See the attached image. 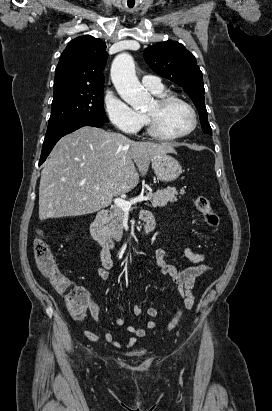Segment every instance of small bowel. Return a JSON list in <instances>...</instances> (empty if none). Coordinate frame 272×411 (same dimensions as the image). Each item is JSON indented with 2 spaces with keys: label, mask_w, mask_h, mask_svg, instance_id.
Returning <instances> with one entry per match:
<instances>
[{
  "label": "small bowel",
  "mask_w": 272,
  "mask_h": 411,
  "mask_svg": "<svg viewBox=\"0 0 272 411\" xmlns=\"http://www.w3.org/2000/svg\"><path fill=\"white\" fill-rule=\"evenodd\" d=\"M150 216L149 212L142 211L141 218L145 221L146 218ZM184 256L194 264L184 269H179L173 265H170L166 262V252L163 249H157L155 251V263L159 268L160 272L167 276L177 287L180 298L184 301L190 299L191 304L188 309H191L194 306L195 299L192 293V289L195 285L196 280L207 270L209 266L204 264L205 255L203 253L194 252L190 248L184 250ZM101 266L97 268V275L104 281L109 280L110 270L114 266V261L109 250L103 249L100 253ZM89 311L92 318L99 322V308L94 301L89 303ZM135 315L145 314L150 319L147 320L142 326H133L129 325L127 327L128 333L132 336L129 337L125 342L115 341L111 333L96 334L90 330H83L82 334L85 338L92 342H105L111 344L120 349H132L137 343V338L144 337L148 330H153L157 327L158 322L155 319L158 316V309L156 307H148L146 309L141 308L140 306L134 307ZM114 323L117 326H123L125 324V319L122 317H116Z\"/></svg>",
  "instance_id": "obj_1"
}]
</instances>
